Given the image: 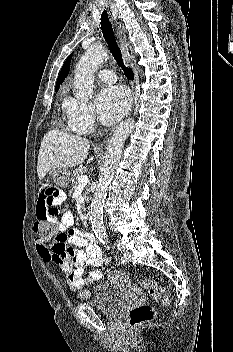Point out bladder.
<instances>
[{"label": "bladder", "mask_w": 233, "mask_h": 352, "mask_svg": "<svg viewBox=\"0 0 233 352\" xmlns=\"http://www.w3.org/2000/svg\"><path fill=\"white\" fill-rule=\"evenodd\" d=\"M125 300L126 297L120 289L105 281L95 286L90 305L105 315L115 316Z\"/></svg>", "instance_id": "obj_1"}]
</instances>
